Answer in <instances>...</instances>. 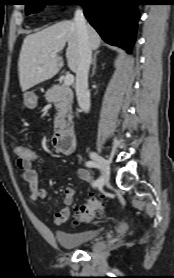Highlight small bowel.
Instances as JSON below:
<instances>
[{
    "label": "small bowel",
    "mask_w": 174,
    "mask_h": 278,
    "mask_svg": "<svg viewBox=\"0 0 174 278\" xmlns=\"http://www.w3.org/2000/svg\"><path fill=\"white\" fill-rule=\"evenodd\" d=\"M34 160L33 159H17V165L22 171L23 180L29 186L30 199L32 201L42 200L47 197L48 191L40 187L39 176L36 170L34 169ZM78 178L86 183L93 185L94 176L91 171L80 168L77 170ZM75 190L73 188H66L63 196V204L60 209L54 214V222L57 225H62L67 222L70 210L74 202Z\"/></svg>",
    "instance_id": "c3829d8e"
}]
</instances>
